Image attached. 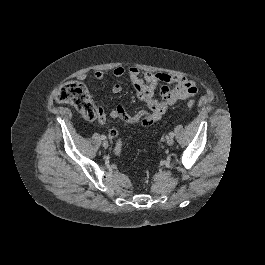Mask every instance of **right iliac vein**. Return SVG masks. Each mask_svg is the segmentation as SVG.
<instances>
[{"instance_id":"right-iliac-vein-1","label":"right iliac vein","mask_w":265,"mask_h":265,"mask_svg":"<svg viewBox=\"0 0 265 265\" xmlns=\"http://www.w3.org/2000/svg\"><path fill=\"white\" fill-rule=\"evenodd\" d=\"M102 146H103L105 149H107L108 146H109V144H108V142L105 140V141H103Z\"/></svg>"}]
</instances>
